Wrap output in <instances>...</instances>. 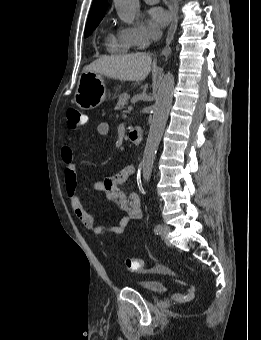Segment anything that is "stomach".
Returning a JSON list of instances; mask_svg holds the SVG:
<instances>
[{
  "label": "stomach",
  "mask_w": 261,
  "mask_h": 340,
  "mask_svg": "<svg viewBox=\"0 0 261 340\" xmlns=\"http://www.w3.org/2000/svg\"><path fill=\"white\" fill-rule=\"evenodd\" d=\"M107 99V91L103 76L94 72H83L78 81L74 95L76 105L83 110L98 107Z\"/></svg>",
  "instance_id": "obj_1"
}]
</instances>
